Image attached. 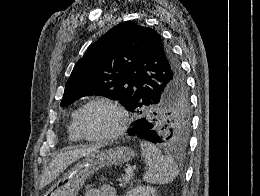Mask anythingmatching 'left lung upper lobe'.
Instances as JSON below:
<instances>
[{
  "mask_svg": "<svg viewBox=\"0 0 260 196\" xmlns=\"http://www.w3.org/2000/svg\"><path fill=\"white\" fill-rule=\"evenodd\" d=\"M91 95L120 101L152 124L159 144L186 149L191 112L185 80L171 48L154 29L125 21L87 49L73 68L60 105Z\"/></svg>",
  "mask_w": 260,
  "mask_h": 196,
  "instance_id": "1",
  "label": "left lung upper lobe"
}]
</instances>
